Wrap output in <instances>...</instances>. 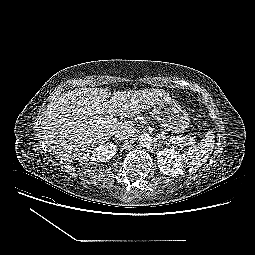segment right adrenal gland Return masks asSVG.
Wrapping results in <instances>:
<instances>
[{"label": "right adrenal gland", "mask_w": 255, "mask_h": 255, "mask_svg": "<svg viewBox=\"0 0 255 255\" xmlns=\"http://www.w3.org/2000/svg\"><path fill=\"white\" fill-rule=\"evenodd\" d=\"M112 140H113L114 142H116V143L119 142V141H118L117 139H115V138H112Z\"/></svg>", "instance_id": "1"}]
</instances>
